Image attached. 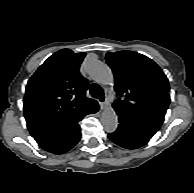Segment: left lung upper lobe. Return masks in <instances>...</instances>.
Segmentation results:
<instances>
[{
    "label": "left lung upper lobe",
    "instance_id": "1",
    "mask_svg": "<svg viewBox=\"0 0 194 193\" xmlns=\"http://www.w3.org/2000/svg\"><path fill=\"white\" fill-rule=\"evenodd\" d=\"M106 61L115 77V91L122 100L114 109L162 124L170 103L169 83L161 68L137 52L107 53Z\"/></svg>",
    "mask_w": 194,
    "mask_h": 193
}]
</instances>
